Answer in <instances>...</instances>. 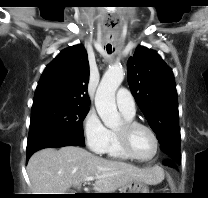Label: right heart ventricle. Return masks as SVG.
Instances as JSON below:
<instances>
[{"label": "right heart ventricle", "mask_w": 208, "mask_h": 198, "mask_svg": "<svg viewBox=\"0 0 208 198\" xmlns=\"http://www.w3.org/2000/svg\"><path fill=\"white\" fill-rule=\"evenodd\" d=\"M125 120H133L134 116L123 114ZM107 157L115 160L128 161L131 158L122 150L115 135V131H109V141L104 152Z\"/></svg>", "instance_id": "1"}]
</instances>
